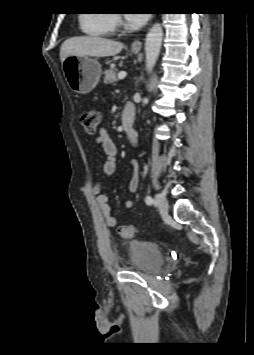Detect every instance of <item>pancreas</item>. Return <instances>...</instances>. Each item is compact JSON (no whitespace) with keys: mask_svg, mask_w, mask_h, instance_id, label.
Masks as SVG:
<instances>
[{"mask_svg":"<svg viewBox=\"0 0 254 355\" xmlns=\"http://www.w3.org/2000/svg\"><path fill=\"white\" fill-rule=\"evenodd\" d=\"M117 81V70L111 68L105 71L104 83L105 84H113Z\"/></svg>","mask_w":254,"mask_h":355,"instance_id":"cf45deb5","label":"pancreas"}]
</instances>
